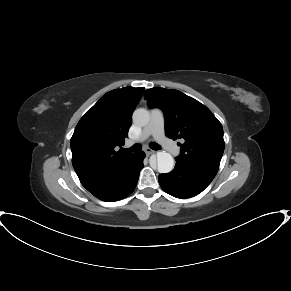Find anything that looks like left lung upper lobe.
<instances>
[{
  "mask_svg": "<svg viewBox=\"0 0 291 291\" xmlns=\"http://www.w3.org/2000/svg\"><path fill=\"white\" fill-rule=\"evenodd\" d=\"M144 98L150 107L164 111L166 135L184 141L176 159L218 170L224 152L223 128L206 106L175 89L151 88Z\"/></svg>",
  "mask_w": 291,
  "mask_h": 291,
  "instance_id": "left-lung-upper-lobe-1",
  "label": "left lung upper lobe"
}]
</instances>
